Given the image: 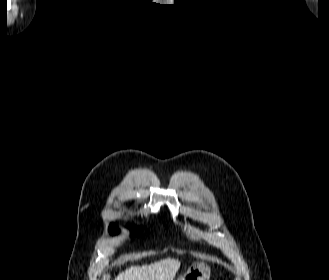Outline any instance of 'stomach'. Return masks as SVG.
<instances>
[{"label": "stomach", "instance_id": "obj_1", "mask_svg": "<svg viewBox=\"0 0 329 280\" xmlns=\"http://www.w3.org/2000/svg\"><path fill=\"white\" fill-rule=\"evenodd\" d=\"M210 267L205 263H194L177 280H209Z\"/></svg>", "mask_w": 329, "mask_h": 280}]
</instances>
